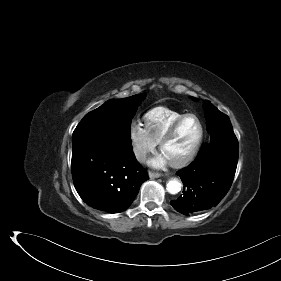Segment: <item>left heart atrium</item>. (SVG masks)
<instances>
[{"mask_svg": "<svg viewBox=\"0 0 281 281\" xmlns=\"http://www.w3.org/2000/svg\"><path fill=\"white\" fill-rule=\"evenodd\" d=\"M168 159L163 155V154H160L156 157H154L153 159H151L149 161L150 165L154 166V167H163L165 166L167 163H168Z\"/></svg>", "mask_w": 281, "mask_h": 281, "instance_id": "obj_1", "label": "left heart atrium"}]
</instances>
